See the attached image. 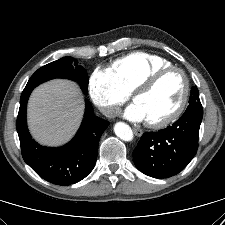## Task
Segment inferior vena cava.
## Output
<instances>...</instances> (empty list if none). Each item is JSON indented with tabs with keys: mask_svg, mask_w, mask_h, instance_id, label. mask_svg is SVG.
<instances>
[{
	"mask_svg": "<svg viewBox=\"0 0 225 225\" xmlns=\"http://www.w3.org/2000/svg\"><path fill=\"white\" fill-rule=\"evenodd\" d=\"M119 111V108L118 107H115V106H111V107H106V108H103L101 110V112L106 116V117H114L115 114Z\"/></svg>",
	"mask_w": 225,
	"mask_h": 225,
	"instance_id": "1",
	"label": "inferior vena cava"
}]
</instances>
